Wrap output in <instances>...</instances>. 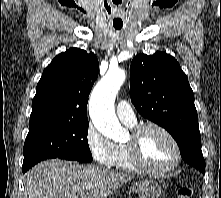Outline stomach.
<instances>
[{
	"label": "stomach",
	"instance_id": "0dacf381",
	"mask_svg": "<svg viewBox=\"0 0 221 198\" xmlns=\"http://www.w3.org/2000/svg\"><path fill=\"white\" fill-rule=\"evenodd\" d=\"M132 190L139 198H158L162 192L161 186L153 180L135 182Z\"/></svg>",
	"mask_w": 221,
	"mask_h": 198
}]
</instances>
